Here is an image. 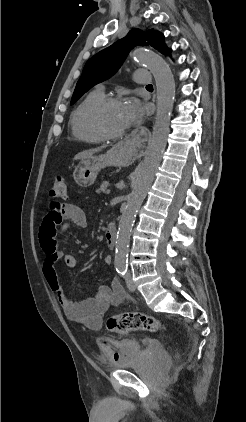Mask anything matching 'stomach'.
Wrapping results in <instances>:
<instances>
[{"instance_id":"obj_1","label":"stomach","mask_w":246,"mask_h":422,"mask_svg":"<svg viewBox=\"0 0 246 422\" xmlns=\"http://www.w3.org/2000/svg\"><path fill=\"white\" fill-rule=\"evenodd\" d=\"M132 159L131 150L124 142H120L104 154L81 160L73 173V178L80 187H89L95 182L98 173L104 167L127 166Z\"/></svg>"}]
</instances>
